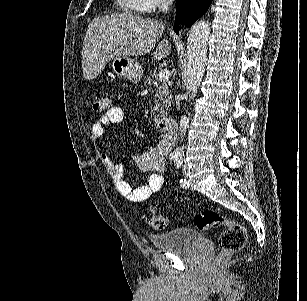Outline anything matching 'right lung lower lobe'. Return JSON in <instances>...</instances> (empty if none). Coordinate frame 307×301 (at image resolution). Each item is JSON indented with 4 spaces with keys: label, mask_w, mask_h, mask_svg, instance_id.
Returning <instances> with one entry per match:
<instances>
[{
    "label": "right lung lower lobe",
    "mask_w": 307,
    "mask_h": 301,
    "mask_svg": "<svg viewBox=\"0 0 307 301\" xmlns=\"http://www.w3.org/2000/svg\"><path fill=\"white\" fill-rule=\"evenodd\" d=\"M212 0H179L176 3V18L174 30L178 34L179 25L182 23L190 27L203 16L209 9Z\"/></svg>",
    "instance_id": "1"
}]
</instances>
